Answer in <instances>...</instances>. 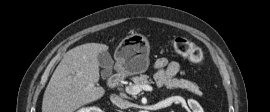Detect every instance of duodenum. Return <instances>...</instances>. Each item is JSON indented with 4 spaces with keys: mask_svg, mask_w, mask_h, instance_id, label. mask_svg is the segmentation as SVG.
<instances>
[{
    "mask_svg": "<svg viewBox=\"0 0 270 112\" xmlns=\"http://www.w3.org/2000/svg\"><path fill=\"white\" fill-rule=\"evenodd\" d=\"M118 78V74H113L111 79H110V82H115Z\"/></svg>",
    "mask_w": 270,
    "mask_h": 112,
    "instance_id": "obj_1",
    "label": "duodenum"
}]
</instances>
